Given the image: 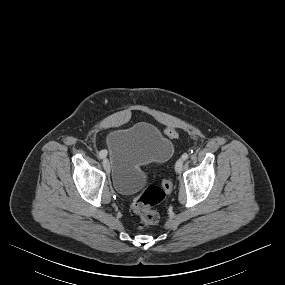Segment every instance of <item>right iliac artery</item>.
I'll return each instance as SVG.
<instances>
[{"label": "right iliac artery", "instance_id": "right-iliac-artery-1", "mask_svg": "<svg viewBox=\"0 0 285 285\" xmlns=\"http://www.w3.org/2000/svg\"><path fill=\"white\" fill-rule=\"evenodd\" d=\"M106 154H107L106 151L101 150V151L99 152V158H100V159L104 158V157L106 156Z\"/></svg>", "mask_w": 285, "mask_h": 285}]
</instances>
